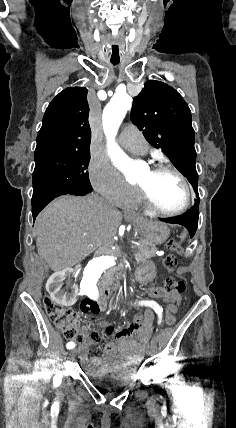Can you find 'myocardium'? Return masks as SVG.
<instances>
[{
	"instance_id": "myocardium-1",
	"label": "myocardium",
	"mask_w": 236,
	"mask_h": 428,
	"mask_svg": "<svg viewBox=\"0 0 236 428\" xmlns=\"http://www.w3.org/2000/svg\"><path fill=\"white\" fill-rule=\"evenodd\" d=\"M161 173H170L175 175L183 184L185 189V201L177 209L167 210L162 208L153 198L150 193L148 186L145 183L136 184L137 191L140 197L141 202L151 210L165 216H174L185 212L191 205L192 201V191L191 185L188 178L176 167L168 163H159L153 165L149 169L150 176H156Z\"/></svg>"
}]
</instances>
